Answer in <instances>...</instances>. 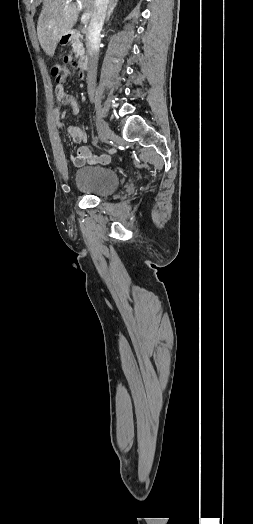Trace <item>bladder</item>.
I'll list each match as a JSON object with an SVG mask.
<instances>
[{
  "mask_svg": "<svg viewBox=\"0 0 253 524\" xmlns=\"http://www.w3.org/2000/svg\"><path fill=\"white\" fill-rule=\"evenodd\" d=\"M75 184L78 190L88 195L105 198L118 190L121 178L113 169L88 166L76 172Z\"/></svg>",
  "mask_w": 253,
  "mask_h": 524,
  "instance_id": "obj_1",
  "label": "bladder"
}]
</instances>
